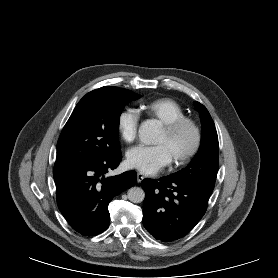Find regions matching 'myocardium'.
<instances>
[{
    "mask_svg": "<svg viewBox=\"0 0 278 278\" xmlns=\"http://www.w3.org/2000/svg\"><path fill=\"white\" fill-rule=\"evenodd\" d=\"M189 128L193 135V141L190 148L177 158L173 159L171 163L174 166H181L189 162L199 151L202 143V132L199 125L189 117L178 118L168 124L163 125V132L171 137L183 128Z\"/></svg>",
    "mask_w": 278,
    "mask_h": 278,
    "instance_id": "obj_1",
    "label": "myocardium"
}]
</instances>
